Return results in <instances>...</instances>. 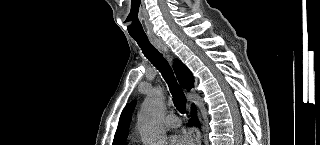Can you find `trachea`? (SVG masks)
I'll list each match as a JSON object with an SVG mask.
<instances>
[{
    "label": "trachea",
    "instance_id": "obj_1",
    "mask_svg": "<svg viewBox=\"0 0 320 145\" xmlns=\"http://www.w3.org/2000/svg\"><path fill=\"white\" fill-rule=\"evenodd\" d=\"M132 38L137 42L145 57L161 72L169 86L175 107L180 113L184 114L186 111V97L181 86L177 83L169 63L163 55L153 47L147 37Z\"/></svg>",
    "mask_w": 320,
    "mask_h": 145
}]
</instances>
